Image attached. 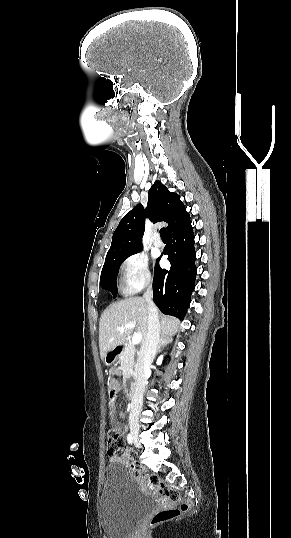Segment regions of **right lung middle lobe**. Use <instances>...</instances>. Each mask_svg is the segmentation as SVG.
<instances>
[{"mask_svg":"<svg viewBox=\"0 0 291 538\" xmlns=\"http://www.w3.org/2000/svg\"><path fill=\"white\" fill-rule=\"evenodd\" d=\"M140 251L141 250L130 253L128 255L120 256L115 259L105 260V263L101 272L100 283L102 287L105 289H108L113 294L114 297L117 294L116 278H117L120 265L124 262L126 258Z\"/></svg>","mask_w":291,"mask_h":538,"instance_id":"dd1d6c3e","label":"right lung middle lobe"}]
</instances>
